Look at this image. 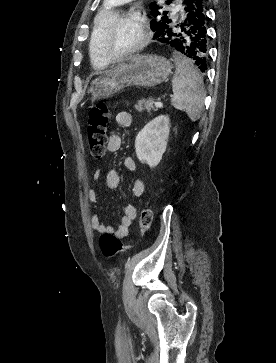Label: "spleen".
Listing matches in <instances>:
<instances>
[{"label":"spleen","instance_id":"obj_1","mask_svg":"<svg viewBox=\"0 0 276 363\" xmlns=\"http://www.w3.org/2000/svg\"><path fill=\"white\" fill-rule=\"evenodd\" d=\"M173 59L176 71L172 79V105L196 121L202 115L206 95L203 79L190 59L176 52Z\"/></svg>","mask_w":276,"mask_h":363}]
</instances>
